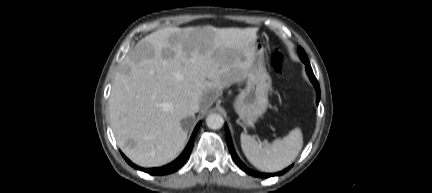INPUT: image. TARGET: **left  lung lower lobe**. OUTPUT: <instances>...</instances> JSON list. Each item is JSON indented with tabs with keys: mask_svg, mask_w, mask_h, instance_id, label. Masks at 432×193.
Returning <instances> with one entry per match:
<instances>
[{
	"mask_svg": "<svg viewBox=\"0 0 432 193\" xmlns=\"http://www.w3.org/2000/svg\"><path fill=\"white\" fill-rule=\"evenodd\" d=\"M300 58H301V57H300ZM301 60L305 63L307 74H308V76H309L311 82L313 83V85H314V87H315V89H316V94H317V105H318L319 100H320V87H319L318 81H317V79L315 78V76H314V74H313L312 68H311L310 63H309V61H308V58H301ZM225 136H226V141H227V144H228L229 150H230V152H231V155H232V157L234 158V160H235V162L237 163V165H238L242 170H244L246 173H248V174H250V175H252V176H255V177H262V178H267V177L274 176V175H281V174L287 172V171L291 168V166H290V167L286 168L285 170H283L282 172H279V173H276V174L258 173V172L252 171V170L248 169V168L243 164V162L239 159V157L237 156V154H236V152H235V149H234V147H233L232 140H231L230 133H229V130H228V127H227V126H225Z\"/></svg>",
	"mask_w": 432,
	"mask_h": 193,
	"instance_id": "1",
	"label": "left lung lower lobe"
}]
</instances>
